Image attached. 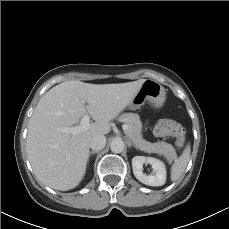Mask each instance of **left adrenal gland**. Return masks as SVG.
<instances>
[{"label": "left adrenal gland", "instance_id": "left-adrenal-gland-1", "mask_svg": "<svg viewBox=\"0 0 229 229\" xmlns=\"http://www.w3.org/2000/svg\"><path fill=\"white\" fill-rule=\"evenodd\" d=\"M131 146H134L130 140H128V147L130 148ZM135 147V146H134Z\"/></svg>", "mask_w": 229, "mask_h": 229}]
</instances>
